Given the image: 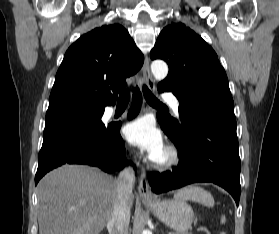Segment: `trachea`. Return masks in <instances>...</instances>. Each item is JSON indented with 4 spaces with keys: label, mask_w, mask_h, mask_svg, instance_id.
<instances>
[{
    "label": "trachea",
    "mask_w": 279,
    "mask_h": 234,
    "mask_svg": "<svg viewBox=\"0 0 279 234\" xmlns=\"http://www.w3.org/2000/svg\"><path fill=\"white\" fill-rule=\"evenodd\" d=\"M143 94L146 101L151 105H162V103L151 93L146 85L143 86ZM130 95L128 91H123L120 93V102H129Z\"/></svg>",
    "instance_id": "trachea-1"
}]
</instances>
